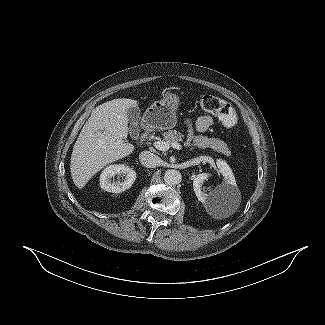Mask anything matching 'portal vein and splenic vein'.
<instances>
[{
    "mask_svg": "<svg viewBox=\"0 0 325 325\" xmlns=\"http://www.w3.org/2000/svg\"><path fill=\"white\" fill-rule=\"evenodd\" d=\"M154 147L160 151H167V150H169L170 147L175 148L177 150L182 149V146L177 142L169 143V142H165V141L154 142Z\"/></svg>",
    "mask_w": 325,
    "mask_h": 325,
    "instance_id": "18ae733b",
    "label": "portal vein and splenic vein"
}]
</instances>
